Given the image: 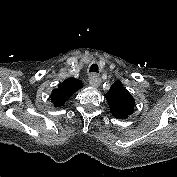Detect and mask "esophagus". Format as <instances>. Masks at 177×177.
Returning <instances> with one entry per match:
<instances>
[{"label": "esophagus", "instance_id": "esophagus-1", "mask_svg": "<svg viewBox=\"0 0 177 177\" xmlns=\"http://www.w3.org/2000/svg\"><path fill=\"white\" fill-rule=\"evenodd\" d=\"M88 81L92 87L97 88L100 85L101 80L97 73H92L90 74Z\"/></svg>", "mask_w": 177, "mask_h": 177}]
</instances>
